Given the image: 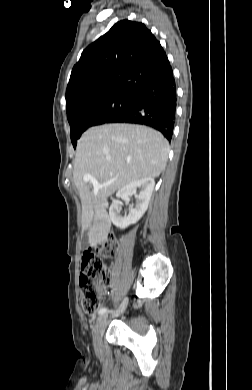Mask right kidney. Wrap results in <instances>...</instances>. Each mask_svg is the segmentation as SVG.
<instances>
[{"label": "right kidney", "instance_id": "right-kidney-1", "mask_svg": "<svg viewBox=\"0 0 252 390\" xmlns=\"http://www.w3.org/2000/svg\"><path fill=\"white\" fill-rule=\"evenodd\" d=\"M155 186L153 178H142L127 184L117 193L118 198L135 195L136 204L131 205L129 215L121 214V207L118 201L114 202L109 208V216L112 223L120 228L125 229L131 224H135L146 212L149 201ZM141 189V192L136 195L135 191Z\"/></svg>", "mask_w": 252, "mask_h": 390}]
</instances>
